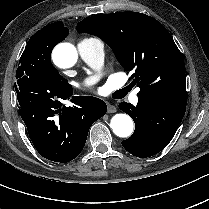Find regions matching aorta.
<instances>
[{
  "mask_svg": "<svg viewBox=\"0 0 209 209\" xmlns=\"http://www.w3.org/2000/svg\"><path fill=\"white\" fill-rule=\"evenodd\" d=\"M77 58V50L70 43H61L53 51V61L60 68L73 66ZM110 127L115 135L123 138L129 137L134 130L131 117L124 113L114 115L111 119Z\"/></svg>",
  "mask_w": 209,
  "mask_h": 209,
  "instance_id": "762f6f07",
  "label": "aorta"
}]
</instances>
